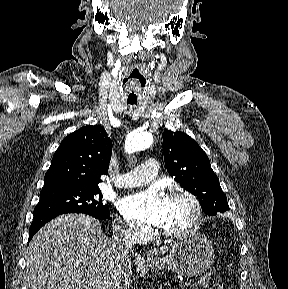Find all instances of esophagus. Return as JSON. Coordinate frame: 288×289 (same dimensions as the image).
I'll return each instance as SVG.
<instances>
[{
  "mask_svg": "<svg viewBox=\"0 0 288 289\" xmlns=\"http://www.w3.org/2000/svg\"><path fill=\"white\" fill-rule=\"evenodd\" d=\"M143 260H146L147 258L145 256L142 257Z\"/></svg>",
  "mask_w": 288,
  "mask_h": 289,
  "instance_id": "1",
  "label": "esophagus"
}]
</instances>
